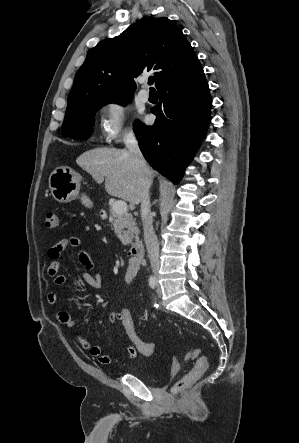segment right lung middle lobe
<instances>
[{
    "instance_id": "right-lung-middle-lobe-1",
    "label": "right lung middle lobe",
    "mask_w": 299,
    "mask_h": 443,
    "mask_svg": "<svg viewBox=\"0 0 299 443\" xmlns=\"http://www.w3.org/2000/svg\"><path fill=\"white\" fill-rule=\"evenodd\" d=\"M129 100H132V95L93 100L67 108L61 130L62 135L64 137L88 138L93 128L95 111L107 103L126 105Z\"/></svg>"
}]
</instances>
